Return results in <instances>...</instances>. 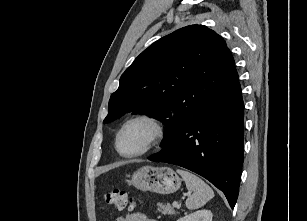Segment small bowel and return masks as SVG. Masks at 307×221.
Wrapping results in <instances>:
<instances>
[{"mask_svg": "<svg viewBox=\"0 0 307 221\" xmlns=\"http://www.w3.org/2000/svg\"><path fill=\"white\" fill-rule=\"evenodd\" d=\"M116 221H157L150 219L142 213L131 212L117 217Z\"/></svg>", "mask_w": 307, "mask_h": 221, "instance_id": "small-bowel-1", "label": "small bowel"}]
</instances>
